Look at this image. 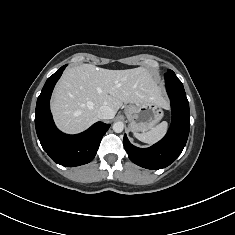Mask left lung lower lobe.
I'll return each instance as SVG.
<instances>
[{"label": "left lung lower lobe", "mask_w": 235, "mask_h": 235, "mask_svg": "<svg viewBox=\"0 0 235 235\" xmlns=\"http://www.w3.org/2000/svg\"><path fill=\"white\" fill-rule=\"evenodd\" d=\"M165 82L172 108V123L165 137L149 148L132 145L126 135L123 139L130 160L147 169L165 168L174 162L185 147L189 135V103L183 84L172 75H166Z\"/></svg>", "instance_id": "0a47b994"}]
</instances>
